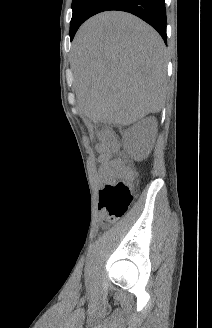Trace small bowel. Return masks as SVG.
Wrapping results in <instances>:
<instances>
[{
    "label": "small bowel",
    "mask_w": 212,
    "mask_h": 328,
    "mask_svg": "<svg viewBox=\"0 0 212 328\" xmlns=\"http://www.w3.org/2000/svg\"><path fill=\"white\" fill-rule=\"evenodd\" d=\"M99 152L98 162L100 164V174L105 179H111L116 175H120L122 163L119 159L113 158L111 151L103 144L97 145Z\"/></svg>",
    "instance_id": "c3829d8e"
}]
</instances>
